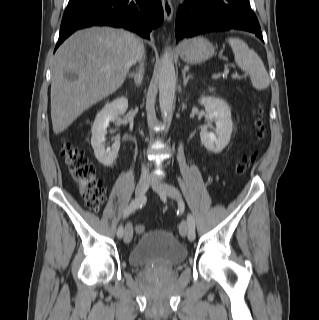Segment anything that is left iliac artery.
<instances>
[{"mask_svg":"<svg viewBox=\"0 0 319 320\" xmlns=\"http://www.w3.org/2000/svg\"><path fill=\"white\" fill-rule=\"evenodd\" d=\"M187 221H188V227H189L188 232H189L190 241H194L196 238L195 220L191 214L188 215Z\"/></svg>","mask_w":319,"mask_h":320,"instance_id":"left-iliac-artery-1","label":"left iliac artery"}]
</instances>
